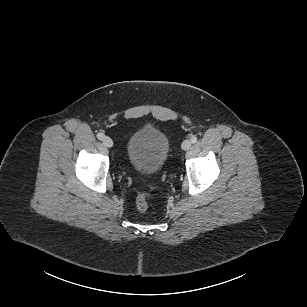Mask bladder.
Masks as SVG:
<instances>
[{"instance_id":"obj_1","label":"bladder","mask_w":307,"mask_h":307,"mask_svg":"<svg viewBox=\"0 0 307 307\" xmlns=\"http://www.w3.org/2000/svg\"><path fill=\"white\" fill-rule=\"evenodd\" d=\"M169 149V140L164 132L153 126H144L129 136L126 157L136 171L153 175L165 164Z\"/></svg>"}]
</instances>
